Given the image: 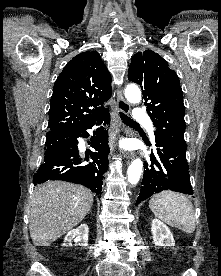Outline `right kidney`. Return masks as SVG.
Masks as SVG:
<instances>
[{"instance_id":"right-kidney-1","label":"right kidney","mask_w":221,"mask_h":276,"mask_svg":"<svg viewBox=\"0 0 221 276\" xmlns=\"http://www.w3.org/2000/svg\"><path fill=\"white\" fill-rule=\"evenodd\" d=\"M88 233L89 228L87 224H81L76 229L71 230L65 236L64 245L71 246V242L75 241L78 242L80 246H87L88 245Z\"/></svg>"}]
</instances>
